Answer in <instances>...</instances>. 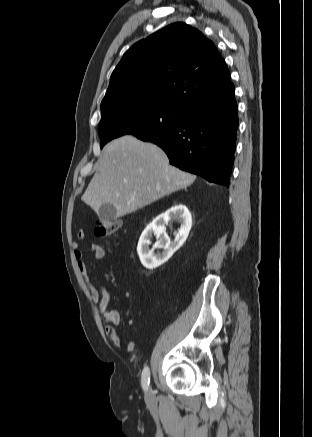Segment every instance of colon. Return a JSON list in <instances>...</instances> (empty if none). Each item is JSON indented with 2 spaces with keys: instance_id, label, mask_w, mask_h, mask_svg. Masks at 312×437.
<instances>
[{
  "instance_id": "5ec220e1",
  "label": "colon",
  "mask_w": 312,
  "mask_h": 437,
  "mask_svg": "<svg viewBox=\"0 0 312 437\" xmlns=\"http://www.w3.org/2000/svg\"><path fill=\"white\" fill-rule=\"evenodd\" d=\"M121 226L118 220L95 219V234L100 237H107L115 234Z\"/></svg>"
}]
</instances>
